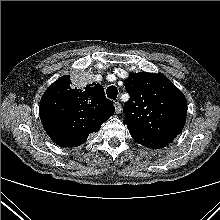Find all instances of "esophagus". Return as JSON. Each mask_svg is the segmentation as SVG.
<instances>
[{
  "instance_id": "obj_1",
  "label": "esophagus",
  "mask_w": 220,
  "mask_h": 220,
  "mask_svg": "<svg viewBox=\"0 0 220 220\" xmlns=\"http://www.w3.org/2000/svg\"><path fill=\"white\" fill-rule=\"evenodd\" d=\"M114 107H115V112L117 114H119L122 110L121 104L117 101V102L114 103Z\"/></svg>"
}]
</instances>
